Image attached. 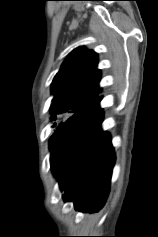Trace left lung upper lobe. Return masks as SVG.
<instances>
[{"label": "left lung upper lobe", "instance_id": "obj_1", "mask_svg": "<svg viewBox=\"0 0 158 237\" xmlns=\"http://www.w3.org/2000/svg\"><path fill=\"white\" fill-rule=\"evenodd\" d=\"M96 66L97 54L84 47H79L68 55L51 85V92L54 94L49 109L52 121L57 120V115L76 113L98 97L102 88L99 87L100 70Z\"/></svg>", "mask_w": 158, "mask_h": 237}]
</instances>
